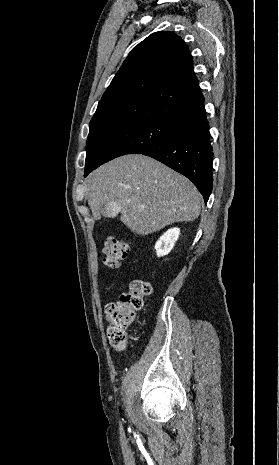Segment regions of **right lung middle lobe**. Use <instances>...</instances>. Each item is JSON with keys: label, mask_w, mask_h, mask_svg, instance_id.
Returning <instances> with one entry per match:
<instances>
[{"label": "right lung middle lobe", "mask_w": 279, "mask_h": 465, "mask_svg": "<svg viewBox=\"0 0 279 465\" xmlns=\"http://www.w3.org/2000/svg\"><path fill=\"white\" fill-rule=\"evenodd\" d=\"M176 122L131 119L91 128L87 139L85 172L126 154H140L164 140Z\"/></svg>", "instance_id": "right-lung-middle-lobe-1"}]
</instances>
